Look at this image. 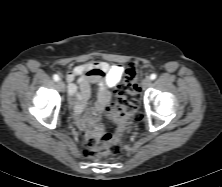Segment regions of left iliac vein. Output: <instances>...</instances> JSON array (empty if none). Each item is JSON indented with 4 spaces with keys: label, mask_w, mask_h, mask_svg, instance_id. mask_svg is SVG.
<instances>
[{
    "label": "left iliac vein",
    "mask_w": 222,
    "mask_h": 187,
    "mask_svg": "<svg viewBox=\"0 0 222 187\" xmlns=\"http://www.w3.org/2000/svg\"><path fill=\"white\" fill-rule=\"evenodd\" d=\"M151 85V79L149 77H146L143 81H142V87L144 89L148 88Z\"/></svg>",
    "instance_id": "left-iliac-vein-1"
}]
</instances>
